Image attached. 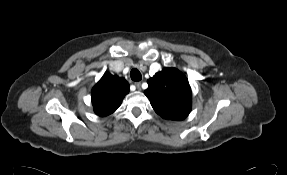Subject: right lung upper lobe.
I'll return each instance as SVG.
<instances>
[{"instance_id": "cb5924a9", "label": "right lung upper lobe", "mask_w": 287, "mask_h": 175, "mask_svg": "<svg viewBox=\"0 0 287 175\" xmlns=\"http://www.w3.org/2000/svg\"><path fill=\"white\" fill-rule=\"evenodd\" d=\"M128 92L129 84L124 78L106 72L91 92L95 113L101 117L112 114Z\"/></svg>"}]
</instances>
